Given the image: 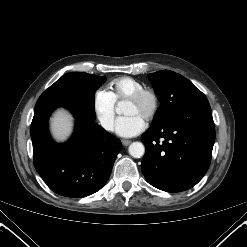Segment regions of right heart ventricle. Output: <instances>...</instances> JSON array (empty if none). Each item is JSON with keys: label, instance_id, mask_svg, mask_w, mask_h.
<instances>
[{"label": "right heart ventricle", "instance_id": "e07e8e85", "mask_svg": "<svg viewBox=\"0 0 247 247\" xmlns=\"http://www.w3.org/2000/svg\"><path fill=\"white\" fill-rule=\"evenodd\" d=\"M142 88H144V84L141 81L129 76H123L110 82L108 91L115 102H121Z\"/></svg>", "mask_w": 247, "mask_h": 247}]
</instances>
